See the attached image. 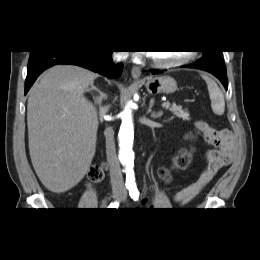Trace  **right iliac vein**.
Instances as JSON below:
<instances>
[{"label":"right iliac vein","instance_id":"obj_1","mask_svg":"<svg viewBox=\"0 0 260 260\" xmlns=\"http://www.w3.org/2000/svg\"><path fill=\"white\" fill-rule=\"evenodd\" d=\"M120 196V193L119 192H114L113 193V198H118Z\"/></svg>","mask_w":260,"mask_h":260}]
</instances>
